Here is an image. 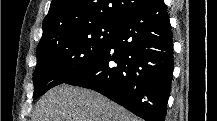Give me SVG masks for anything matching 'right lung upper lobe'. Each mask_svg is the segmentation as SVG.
<instances>
[{
	"mask_svg": "<svg viewBox=\"0 0 217 121\" xmlns=\"http://www.w3.org/2000/svg\"><path fill=\"white\" fill-rule=\"evenodd\" d=\"M148 2L149 0H52L43 20V35L38 47L82 26L104 22L120 24Z\"/></svg>",
	"mask_w": 217,
	"mask_h": 121,
	"instance_id": "obj_1",
	"label": "right lung upper lobe"
}]
</instances>
